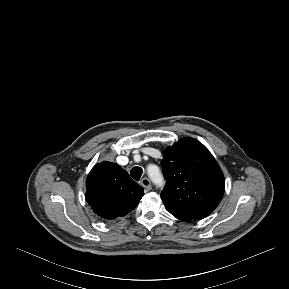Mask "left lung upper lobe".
I'll use <instances>...</instances> for the list:
<instances>
[{
    "mask_svg": "<svg viewBox=\"0 0 289 289\" xmlns=\"http://www.w3.org/2000/svg\"><path fill=\"white\" fill-rule=\"evenodd\" d=\"M166 185L161 198L174 215L203 219L219 204L224 193V175L209 150L186 137L164 152Z\"/></svg>",
    "mask_w": 289,
    "mask_h": 289,
    "instance_id": "5c2ea615",
    "label": "left lung upper lobe"
}]
</instances>
